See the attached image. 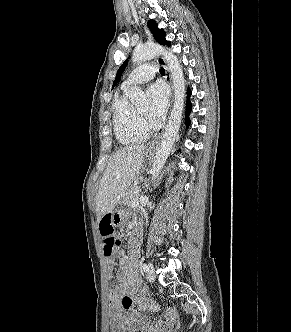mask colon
I'll return each instance as SVG.
<instances>
[{
  "label": "colon",
  "instance_id": "colon-1",
  "mask_svg": "<svg viewBox=\"0 0 291 332\" xmlns=\"http://www.w3.org/2000/svg\"><path fill=\"white\" fill-rule=\"evenodd\" d=\"M100 233L102 238L103 250L106 257H112L115 249L119 246L115 228L110 216H105L100 223ZM172 313V310H168Z\"/></svg>",
  "mask_w": 291,
  "mask_h": 332
}]
</instances>
